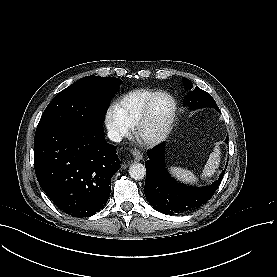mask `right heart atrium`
<instances>
[{"mask_svg":"<svg viewBox=\"0 0 277 277\" xmlns=\"http://www.w3.org/2000/svg\"><path fill=\"white\" fill-rule=\"evenodd\" d=\"M105 124L111 136L115 139L125 137L130 131V126L122 118L117 108L113 105L106 111Z\"/></svg>","mask_w":277,"mask_h":277,"instance_id":"1","label":"right heart atrium"}]
</instances>
